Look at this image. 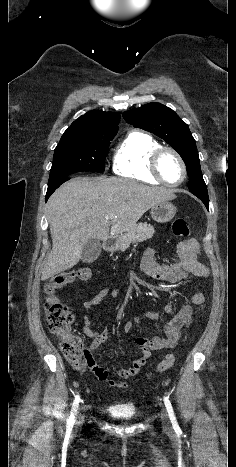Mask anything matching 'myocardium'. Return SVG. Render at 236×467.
<instances>
[{
  "mask_svg": "<svg viewBox=\"0 0 236 467\" xmlns=\"http://www.w3.org/2000/svg\"><path fill=\"white\" fill-rule=\"evenodd\" d=\"M165 152H169L172 155H174L177 158V160L179 161V163H180V165L182 167L183 175H182L181 180L179 182H177V183L167 182L164 179V177L162 176V174H161L160 160H161L162 155ZM150 171H151V174L160 183H162V184H164L165 186H168V187H178V186L182 185L184 183V181L186 180V178H187V166H186V163H185L184 159L182 158V156L175 149H173L172 147H168V146H160V147H158L156 150H154L152 152L151 157H150Z\"/></svg>",
  "mask_w": 236,
  "mask_h": 467,
  "instance_id": "myocardium-1",
  "label": "myocardium"
}]
</instances>
